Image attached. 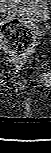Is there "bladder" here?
I'll use <instances>...</instances> for the list:
<instances>
[{"instance_id": "1", "label": "bladder", "mask_w": 51, "mask_h": 153, "mask_svg": "<svg viewBox=\"0 0 51 153\" xmlns=\"http://www.w3.org/2000/svg\"><path fill=\"white\" fill-rule=\"evenodd\" d=\"M2 6L5 12L36 24L45 23L50 17L48 0H2Z\"/></svg>"}]
</instances>
